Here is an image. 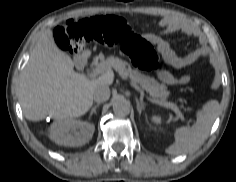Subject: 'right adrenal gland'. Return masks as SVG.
I'll return each mask as SVG.
<instances>
[{
    "label": "right adrenal gland",
    "mask_w": 236,
    "mask_h": 182,
    "mask_svg": "<svg viewBox=\"0 0 236 182\" xmlns=\"http://www.w3.org/2000/svg\"><path fill=\"white\" fill-rule=\"evenodd\" d=\"M100 103H97L95 106L92 107L90 114H89V119L92 116L93 113H96L97 107H99Z\"/></svg>",
    "instance_id": "right-adrenal-gland-1"
}]
</instances>
